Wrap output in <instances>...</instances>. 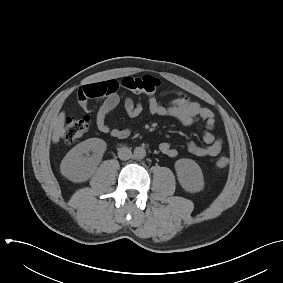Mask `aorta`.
<instances>
[{"instance_id":"762f6f07","label":"aorta","mask_w":283,"mask_h":283,"mask_svg":"<svg viewBox=\"0 0 283 283\" xmlns=\"http://www.w3.org/2000/svg\"><path fill=\"white\" fill-rule=\"evenodd\" d=\"M146 156V150L144 147H136L134 149V157L136 159H143Z\"/></svg>"}]
</instances>
